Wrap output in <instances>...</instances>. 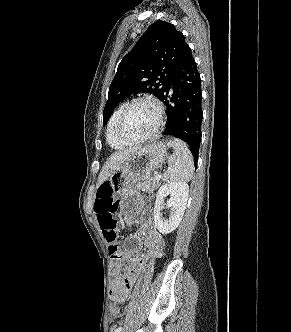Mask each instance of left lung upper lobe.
<instances>
[{
  "label": "left lung upper lobe",
  "instance_id": "1",
  "mask_svg": "<svg viewBox=\"0 0 291 332\" xmlns=\"http://www.w3.org/2000/svg\"><path fill=\"white\" fill-rule=\"evenodd\" d=\"M186 46L184 35L173 24L161 20L151 24L118 65L109 87L103 124L115 107L133 93L146 92L161 99Z\"/></svg>",
  "mask_w": 291,
  "mask_h": 332
}]
</instances>
